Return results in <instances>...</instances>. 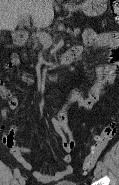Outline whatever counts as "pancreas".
Returning a JSON list of instances; mask_svg holds the SVG:
<instances>
[{
    "label": "pancreas",
    "mask_w": 119,
    "mask_h": 185,
    "mask_svg": "<svg viewBox=\"0 0 119 185\" xmlns=\"http://www.w3.org/2000/svg\"><path fill=\"white\" fill-rule=\"evenodd\" d=\"M79 32H80L79 29H75L74 32H73V34L74 35H77ZM32 39H33V42H34V48L35 47H38L39 44L42 43L41 40H40V38L38 37V34H33L32 35Z\"/></svg>",
    "instance_id": "pancreas-1"
}]
</instances>
